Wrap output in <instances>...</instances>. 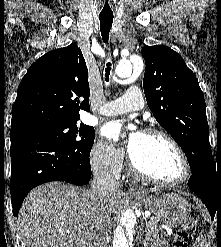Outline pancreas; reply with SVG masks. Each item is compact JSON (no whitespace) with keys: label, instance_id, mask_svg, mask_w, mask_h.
I'll return each mask as SVG.
<instances>
[{"label":"pancreas","instance_id":"cf45deb5","mask_svg":"<svg viewBox=\"0 0 221 247\" xmlns=\"http://www.w3.org/2000/svg\"><path fill=\"white\" fill-rule=\"evenodd\" d=\"M145 233L143 240L145 246L161 247L162 245H168V241L165 239L162 229L158 226V220L156 218L148 221Z\"/></svg>","mask_w":221,"mask_h":247}]
</instances>
